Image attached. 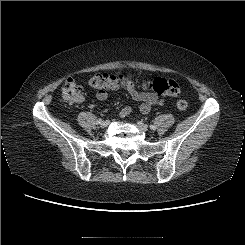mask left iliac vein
<instances>
[{"label":"left iliac vein","mask_w":245,"mask_h":245,"mask_svg":"<svg viewBox=\"0 0 245 245\" xmlns=\"http://www.w3.org/2000/svg\"><path fill=\"white\" fill-rule=\"evenodd\" d=\"M137 126L143 131H148V126L140 121L137 122Z\"/></svg>","instance_id":"4c4485c4"}]
</instances>
